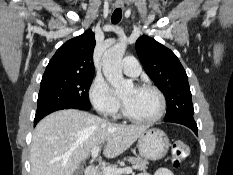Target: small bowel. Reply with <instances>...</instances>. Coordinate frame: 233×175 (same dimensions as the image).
I'll return each instance as SVG.
<instances>
[{"label":"small bowel","instance_id":"c3829d8e","mask_svg":"<svg viewBox=\"0 0 233 175\" xmlns=\"http://www.w3.org/2000/svg\"><path fill=\"white\" fill-rule=\"evenodd\" d=\"M137 175H151L148 172H140ZM154 175H174V173L168 168H160L158 169Z\"/></svg>","mask_w":233,"mask_h":175}]
</instances>
